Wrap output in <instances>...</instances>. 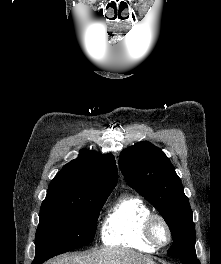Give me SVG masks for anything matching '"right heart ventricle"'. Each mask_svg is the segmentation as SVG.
Returning <instances> with one entry per match:
<instances>
[{
	"instance_id": "right-heart-ventricle-1",
	"label": "right heart ventricle",
	"mask_w": 221,
	"mask_h": 264,
	"mask_svg": "<svg viewBox=\"0 0 221 264\" xmlns=\"http://www.w3.org/2000/svg\"><path fill=\"white\" fill-rule=\"evenodd\" d=\"M151 210L138 196L124 194L108 209L101 227L104 245L123 247L152 253V246L144 235V222Z\"/></svg>"
}]
</instances>
